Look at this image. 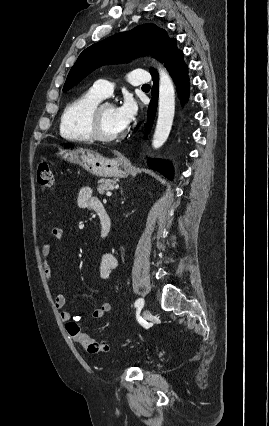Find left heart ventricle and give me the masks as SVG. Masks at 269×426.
<instances>
[{"label": "left heart ventricle", "mask_w": 269, "mask_h": 426, "mask_svg": "<svg viewBox=\"0 0 269 426\" xmlns=\"http://www.w3.org/2000/svg\"><path fill=\"white\" fill-rule=\"evenodd\" d=\"M100 126L103 134L109 137L118 136L124 131L117 121L114 107H105L102 110Z\"/></svg>", "instance_id": "left-heart-ventricle-1"}]
</instances>
